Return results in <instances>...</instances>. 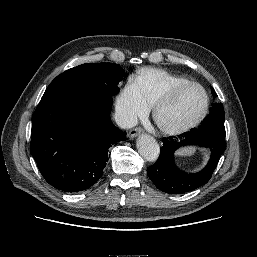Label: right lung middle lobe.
Listing matches in <instances>:
<instances>
[{
  "label": "right lung middle lobe",
  "instance_id": "right-lung-middle-lobe-1",
  "mask_svg": "<svg viewBox=\"0 0 257 257\" xmlns=\"http://www.w3.org/2000/svg\"><path fill=\"white\" fill-rule=\"evenodd\" d=\"M124 70L114 63H86L57 76L41 100L65 94H97L112 97L119 92L118 84Z\"/></svg>",
  "mask_w": 257,
  "mask_h": 257
}]
</instances>
